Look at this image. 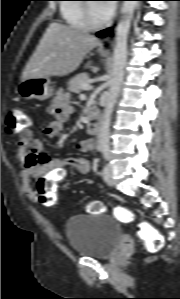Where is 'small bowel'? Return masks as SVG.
<instances>
[{"mask_svg": "<svg viewBox=\"0 0 180 299\" xmlns=\"http://www.w3.org/2000/svg\"><path fill=\"white\" fill-rule=\"evenodd\" d=\"M47 113L51 120L44 128V134L47 137H54L61 132L63 124L73 114V108L66 101L65 94L59 92L53 102L48 105ZM78 148L85 152L91 151L94 148V142L91 139H84L79 143ZM16 157L21 169L23 192L31 200L38 198L37 189L42 183L62 180L70 170L85 174L91 168L90 160L87 158L62 159L44 154L42 142L34 138L29 129L21 131ZM36 179L37 183L34 187L33 180Z\"/></svg>", "mask_w": 180, "mask_h": 299, "instance_id": "small-bowel-1", "label": "small bowel"}]
</instances>
